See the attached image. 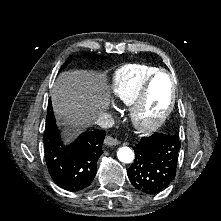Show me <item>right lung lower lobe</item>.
Listing matches in <instances>:
<instances>
[{
    "instance_id": "obj_1",
    "label": "right lung lower lobe",
    "mask_w": 221,
    "mask_h": 221,
    "mask_svg": "<svg viewBox=\"0 0 221 221\" xmlns=\"http://www.w3.org/2000/svg\"><path fill=\"white\" fill-rule=\"evenodd\" d=\"M104 138L103 130L88 131L63 145L49 101L43 142L47 168L56 184L68 191L87 188L96 175Z\"/></svg>"
}]
</instances>
